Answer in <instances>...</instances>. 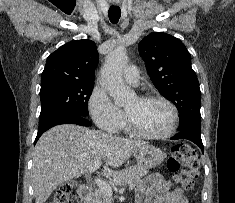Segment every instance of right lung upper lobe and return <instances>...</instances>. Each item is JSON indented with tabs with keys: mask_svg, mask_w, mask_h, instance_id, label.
<instances>
[{
	"mask_svg": "<svg viewBox=\"0 0 235 203\" xmlns=\"http://www.w3.org/2000/svg\"><path fill=\"white\" fill-rule=\"evenodd\" d=\"M97 63L98 52L93 41L69 42L48 56L41 86L64 81L94 82Z\"/></svg>",
	"mask_w": 235,
	"mask_h": 203,
	"instance_id": "right-lung-upper-lobe-1",
	"label": "right lung upper lobe"
}]
</instances>
